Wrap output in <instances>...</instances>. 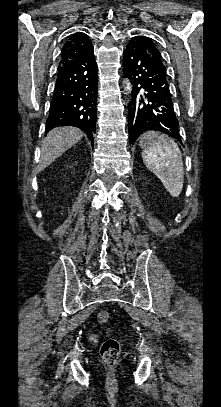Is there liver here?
<instances>
[{
  "label": "liver",
  "instance_id": "1",
  "mask_svg": "<svg viewBox=\"0 0 221 407\" xmlns=\"http://www.w3.org/2000/svg\"><path fill=\"white\" fill-rule=\"evenodd\" d=\"M82 136L83 132L75 127H57L51 130L42 142L37 171L44 170L65 151L78 143Z\"/></svg>",
  "mask_w": 221,
  "mask_h": 407
}]
</instances>
